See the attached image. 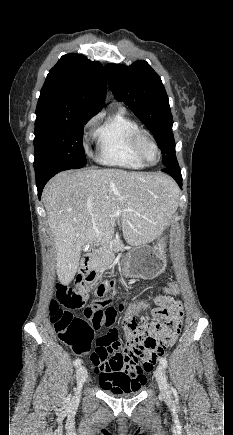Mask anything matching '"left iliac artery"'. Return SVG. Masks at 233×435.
<instances>
[{
  "label": "left iliac artery",
  "mask_w": 233,
  "mask_h": 435,
  "mask_svg": "<svg viewBox=\"0 0 233 435\" xmlns=\"http://www.w3.org/2000/svg\"><path fill=\"white\" fill-rule=\"evenodd\" d=\"M160 363L166 368L167 367V360H166V358H161L160 359ZM172 390H173V388H171Z\"/></svg>",
  "instance_id": "1"
}]
</instances>
